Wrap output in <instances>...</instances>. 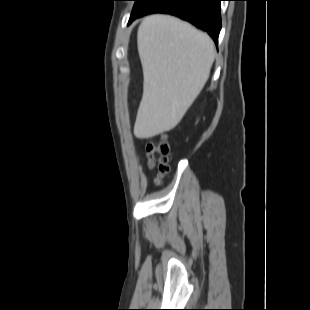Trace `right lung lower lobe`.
Instances as JSON below:
<instances>
[{
	"label": "right lung lower lobe",
	"mask_w": 310,
	"mask_h": 310,
	"mask_svg": "<svg viewBox=\"0 0 310 310\" xmlns=\"http://www.w3.org/2000/svg\"><path fill=\"white\" fill-rule=\"evenodd\" d=\"M221 0H159L149 8L131 15L129 23L134 19L150 13H168L187 20L197 28L206 31L218 42L221 30Z\"/></svg>",
	"instance_id": "right-lung-lower-lobe-1"
}]
</instances>
